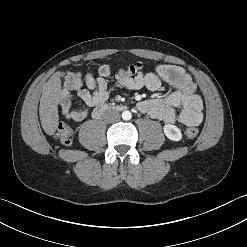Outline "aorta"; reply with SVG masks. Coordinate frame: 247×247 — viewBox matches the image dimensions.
Segmentation results:
<instances>
[{
	"instance_id": "762f6f07",
	"label": "aorta",
	"mask_w": 247,
	"mask_h": 247,
	"mask_svg": "<svg viewBox=\"0 0 247 247\" xmlns=\"http://www.w3.org/2000/svg\"><path fill=\"white\" fill-rule=\"evenodd\" d=\"M131 117H132V115H131V112L130 111H124L122 113V119L123 120H130Z\"/></svg>"
}]
</instances>
